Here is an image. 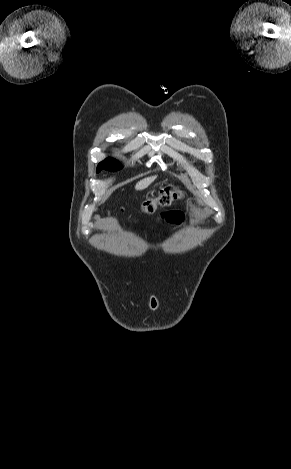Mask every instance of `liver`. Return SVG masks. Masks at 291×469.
Returning a JSON list of instances; mask_svg holds the SVG:
<instances>
[{"instance_id": "liver-1", "label": "liver", "mask_w": 291, "mask_h": 469, "mask_svg": "<svg viewBox=\"0 0 291 469\" xmlns=\"http://www.w3.org/2000/svg\"><path fill=\"white\" fill-rule=\"evenodd\" d=\"M157 176H151V177H147V178H144L142 180H140L136 186H135V189L136 190H143L145 188H147L155 179H156Z\"/></svg>"}]
</instances>
